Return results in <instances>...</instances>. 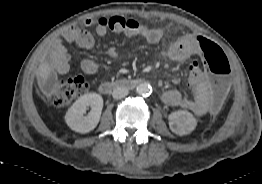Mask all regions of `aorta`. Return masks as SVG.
<instances>
[{
  "instance_id": "762f6f07",
  "label": "aorta",
  "mask_w": 262,
  "mask_h": 184,
  "mask_svg": "<svg viewBox=\"0 0 262 184\" xmlns=\"http://www.w3.org/2000/svg\"><path fill=\"white\" fill-rule=\"evenodd\" d=\"M136 91L139 95L147 96L151 92V87L147 83H141L137 86Z\"/></svg>"
}]
</instances>
